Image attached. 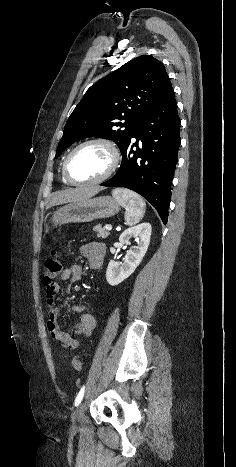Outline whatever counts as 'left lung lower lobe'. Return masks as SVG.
I'll list each match as a JSON object with an SVG mask.
<instances>
[{
    "instance_id": "obj_1",
    "label": "left lung lower lobe",
    "mask_w": 236,
    "mask_h": 467,
    "mask_svg": "<svg viewBox=\"0 0 236 467\" xmlns=\"http://www.w3.org/2000/svg\"><path fill=\"white\" fill-rule=\"evenodd\" d=\"M179 128L180 118L171 87L132 131L121 151L122 163L118 172L101 184L125 187L139 193L155 207L164 224L168 220L171 184L178 161ZM133 138L135 143H132ZM133 147L137 150L134 151Z\"/></svg>"
}]
</instances>
